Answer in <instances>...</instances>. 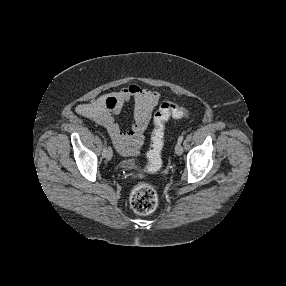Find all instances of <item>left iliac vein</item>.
<instances>
[{
	"label": "left iliac vein",
	"mask_w": 286,
	"mask_h": 286,
	"mask_svg": "<svg viewBox=\"0 0 286 286\" xmlns=\"http://www.w3.org/2000/svg\"><path fill=\"white\" fill-rule=\"evenodd\" d=\"M175 153L180 156L183 153V147L181 143H177L175 146Z\"/></svg>",
	"instance_id": "left-iliac-vein-1"
}]
</instances>
